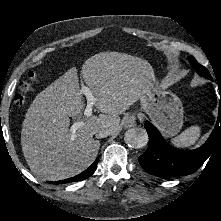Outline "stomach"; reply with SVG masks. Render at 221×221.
<instances>
[{"mask_svg":"<svg viewBox=\"0 0 221 221\" xmlns=\"http://www.w3.org/2000/svg\"><path fill=\"white\" fill-rule=\"evenodd\" d=\"M139 102L141 110L165 137L174 136L181 130L184 115L182 102L174 93L166 91L156 78L150 80Z\"/></svg>","mask_w":221,"mask_h":221,"instance_id":"obj_1","label":"stomach"}]
</instances>
